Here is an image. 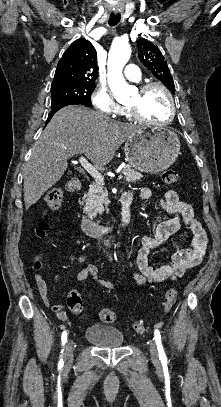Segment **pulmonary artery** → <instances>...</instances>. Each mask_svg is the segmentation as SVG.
Returning <instances> with one entry per match:
<instances>
[{
  "instance_id": "pulmonary-artery-1",
  "label": "pulmonary artery",
  "mask_w": 221,
  "mask_h": 407,
  "mask_svg": "<svg viewBox=\"0 0 221 407\" xmlns=\"http://www.w3.org/2000/svg\"><path fill=\"white\" fill-rule=\"evenodd\" d=\"M125 75L129 80L139 82L141 80V73L135 64H128L125 69Z\"/></svg>"
}]
</instances>
